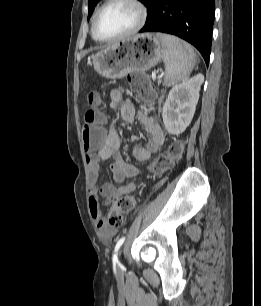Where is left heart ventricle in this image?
Returning <instances> with one entry per match:
<instances>
[{
	"label": "left heart ventricle",
	"instance_id": "b2bd125f",
	"mask_svg": "<svg viewBox=\"0 0 261 306\" xmlns=\"http://www.w3.org/2000/svg\"><path fill=\"white\" fill-rule=\"evenodd\" d=\"M139 18L135 6L126 2H116L106 7L101 13L97 30L102 37H114L130 31Z\"/></svg>",
	"mask_w": 261,
	"mask_h": 306
}]
</instances>
